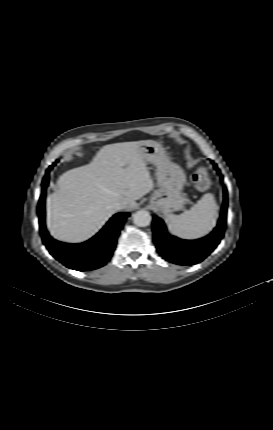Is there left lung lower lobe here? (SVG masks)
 I'll return each mask as SVG.
<instances>
[{"label": "left lung lower lobe", "mask_w": 273, "mask_h": 430, "mask_svg": "<svg viewBox=\"0 0 273 430\" xmlns=\"http://www.w3.org/2000/svg\"><path fill=\"white\" fill-rule=\"evenodd\" d=\"M217 172L220 170L214 164ZM223 207L218 225L208 236L188 241L181 240L167 233L164 222L153 217V237L158 253L166 260L178 265H192L203 261L219 244L226 227L227 189L224 187Z\"/></svg>", "instance_id": "1"}]
</instances>
